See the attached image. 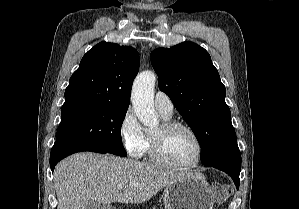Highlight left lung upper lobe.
<instances>
[{"instance_id": "obj_1", "label": "left lung upper lobe", "mask_w": 299, "mask_h": 209, "mask_svg": "<svg viewBox=\"0 0 299 209\" xmlns=\"http://www.w3.org/2000/svg\"><path fill=\"white\" fill-rule=\"evenodd\" d=\"M159 88L194 132L203 163L229 138L236 136L226 89L209 53L193 42L151 53Z\"/></svg>"}]
</instances>
